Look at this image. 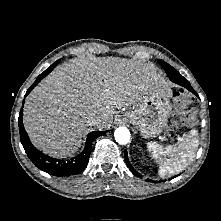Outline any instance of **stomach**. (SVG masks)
<instances>
[{"label":"stomach","instance_id":"0dacf381","mask_svg":"<svg viewBox=\"0 0 221 221\" xmlns=\"http://www.w3.org/2000/svg\"><path fill=\"white\" fill-rule=\"evenodd\" d=\"M170 88L156 90L125 113V118L136 125L143 138H154L165 129L171 111Z\"/></svg>","mask_w":221,"mask_h":221}]
</instances>
